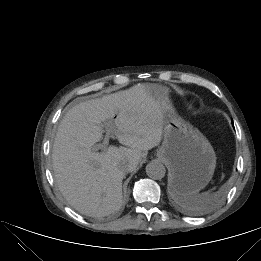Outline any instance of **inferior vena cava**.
I'll use <instances>...</instances> for the list:
<instances>
[{
    "instance_id": "602c4592",
    "label": "inferior vena cava",
    "mask_w": 261,
    "mask_h": 261,
    "mask_svg": "<svg viewBox=\"0 0 261 261\" xmlns=\"http://www.w3.org/2000/svg\"><path fill=\"white\" fill-rule=\"evenodd\" d=\"M126 170H127V171H129V170H130V168H129V167H127V168H126Z\"/></svg>"
}]
</instances>
